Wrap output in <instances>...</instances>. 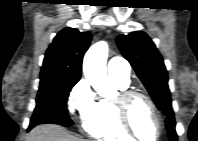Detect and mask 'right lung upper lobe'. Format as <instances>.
Here are the masks:
<instances>
[{
  "instance_id": "right-lung-upper-lobe-1",
  "label": "right lung upper lobe",
  "mask_w": 198,
  "mask_h": 141,
  "mask_svg": "<svg viewBox=\"0 0 198 141\" xmlns=\"http://www.w3.org/2000/svg\"><path fill=\"white\" fill-rule=\"evenodd\" d=\"M91 42L90 32L64 28L46 51L40 77L81 76L82 59Z\"/></svg>"
}]
</instances>
